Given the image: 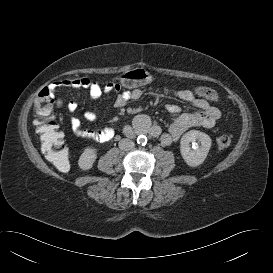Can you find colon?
I'll return each mask as SVG.
<instances>
[{
  "label": "colon",
  "instance_id": "obj_1",
  "mask_svg": "<svg viewBox=\"0 0 273 273\" xmlns=\"http://www.w3.org/2000/svg\"><path fill=\"white\" fill-rule=\"evenodd\" d=\"M153 77L150 72L142 69L128 71L117 77L115 82L118 87H135L148 84ZM195 92L212 102H218V94L207 87H197ZM51 90L44 88L35 101V110L39 119L34 122L35 130L40 137V148L47 160L52 162L61 172L69 170L68 152L64 145V137L59 130V125L52 116ZM231 136L222 134L217 139L221 148H227L231 144Z\"/></svg>",
  "mask_w": 273,
  "mask_h": 273
}]
</instances>
